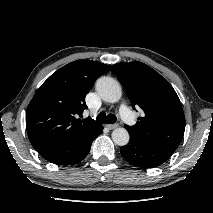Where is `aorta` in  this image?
Masks as SVG:
<instances>
[{
	"label": "aorta",
	"mask_w": 213,
	"mask_h": 213,
	"mask_svg": "<svg viewBox=\"0 0 213 213\" xmlns=\"http://www.w3.org/2000/svg\"><path fill=\"white\" fill-rule=\"evenodd\" d=\"M96 91L100 97L110 103L120 100L122 91L120 84L111 77H101L96 82ZM130 139L129 133L125 128H116L112 132V140L118 146H125Z\"/></svg>",
	"instance_id": "obj_1"
}]
</instances>
